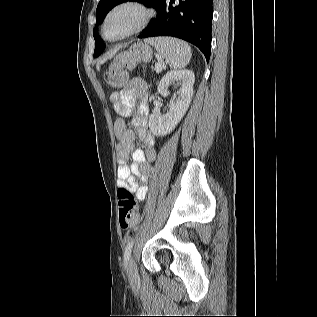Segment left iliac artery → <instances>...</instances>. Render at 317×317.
<instances>
[{
	"instance_id": "1",
	"label": "left iliac artery",
	"mask_w": 317,
	"mask_h": 317,
	"mask_svg": "<svg viewBox=\"0 0 317 317\" xmlns=\"http://www.w3.org/2000/svg\"><path fill=\"white\" fill-rule=\"evenodd\" d=\"M133 243H134V240H131L128 242V244L126 245V248H125V252H124V264L126 265L129 257H130V254H131V250H132V247H133Z\"/></svg>"
}]
</instances>
